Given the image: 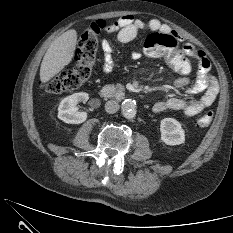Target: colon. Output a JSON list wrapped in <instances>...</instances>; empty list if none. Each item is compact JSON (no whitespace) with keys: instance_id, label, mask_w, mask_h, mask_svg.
Returning a JSON list of instances; mask_svg holds the SVG:
<instances>
[{"instance_id":"colon-1","label":"colon","mask_w":233,"mask_h":233,"mask_svg":"<svg viewBox=\"0 0 233 233\" xmlns=\"http://www.w3.org/2000/svg\"><path fill=\"white\" fill-rule=\"evenodd\" d=\"M106 28V22L99 20L82 33L74 67L51 78L44 86L46 92L57 94L77 90L89 81L96 60L98 36ZM144 51L150 57L164 59L167 65L178 74H187L191 71L189 57L180 47L177 37L171 33L150 34L144 42ZM213 116L212 111L205 112L198 118L197 125L201 128L209 126Z\"/></svg>"}]
</instances>
